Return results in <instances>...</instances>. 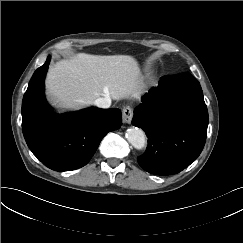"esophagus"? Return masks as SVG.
<instances>
[{"mask_svg":"<svg viewBox=\"0 0 243 243\" xmlns=\"http://www.w3.org/2000/svg\"><path fill=\"white\" fill-rule=\"evenodd\" d=\"M122 118L124 123H131L133 118V109L130 106H126L122 110Z\"/></svg>","mask_w":243,"mask_h":243,"instance_id":"esophagus-1","label":"esophagus"}]
</instances>
